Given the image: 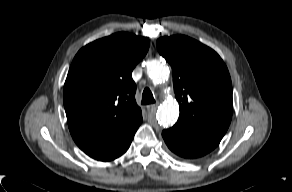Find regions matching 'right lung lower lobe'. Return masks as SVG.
Returning <instances> with one entry per match:
<instances>
[{
	"label": "right lung lower lobe",
	"instance_id": "right-lung-lower-lobe-1",
	"mask_svg": "<svg viewBox=\"0 0 292 192\" xmlns=\"http://www.w3.org/2000/svg\"><path fill=\"white\" fill-rule=\"evenodd\" d=\"M141 122L142 120L130 129L118 134L98 138L81 137L74 141L82 151L93 159L111 161L127 151Z\"/></svg>",
	"mask_w": 292,
	"mask_h": 192
}]
</instances>
